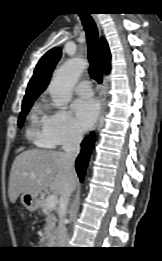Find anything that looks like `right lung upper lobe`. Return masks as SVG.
Here are the masks:
<instances>
[{
	"instance_id": "cb5924a9",
	"label": "right lung upper lobe",
	"mask_w": 162,
	"mask_h": 261,
	"mask_svg": "<svg viewBox=\"0 0 162 261\" xmlns=\"http://www.w3.org/2000/svg\"><path fill=\"white\" fill-rule=\"evenodd\" d=\"M101 54L103 71L108 74L111 70V55L108 44L104 38H101ZM61 57V49L56 47L49 50L38 62L34 74L28 84L26 95L23 102L36 99L47 87L52 71Z\"/></svg>"
}]
</instances>
